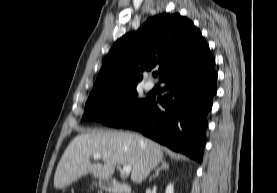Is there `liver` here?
<instances>
[{"label": "liver", "mask_w": 277, "mask_h": 193, "mask_svg": "<svg viewBox=\"0 0 277 193\" xmlns=\"http://www.w3.org/2000/svg\"><path fill=\"white\" fill-rule=\"evenodd\" d=\"M101 154V163L90 157ZM163 147L141 135L116 131L90 130L75 137L63 153L54 176V187L62 189L90 173L110 178L115 165L131 167V179L142 183L163 160Z\"/></svg>", "instance_id": "6515ba94"}]
</instances>
